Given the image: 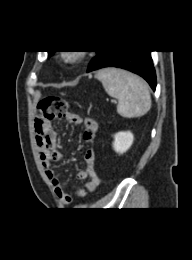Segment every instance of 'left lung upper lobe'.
Instances as JSON below:
<instances>
[{"mask_svg": "<svg viewBox=\"0 0 192 260\" xmlns=\"http://www.w3.org/2000/svg\"><path fill=\"white\" fill-rule=\"evenodd\" d=\"M96 52L98 53L99 51H96ZM53 53H54V51H48V57H50Z\"/></svg>", "mask_w": 192, "mask_h": 260, "instance_id": "left-lung-upper-lobe-1", "label": "left lung upper lobe"}]
</instances>
